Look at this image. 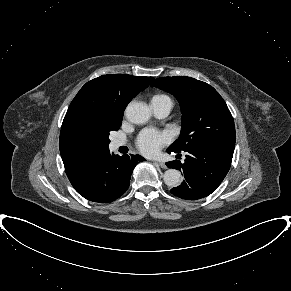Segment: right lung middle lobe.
I'll return each mask as SVG.
<instances>
[{"label": "right lung middle lobe", "mask_w": 291, "mask_h": 291, "mask_svg": "<svg viewBox=\"0 0 291 291\" xmlns=\"http://www.w3.org/2000/svg\"><path fill=\"white\" fill-rule=\"evenodd\" d=\"M122 123V117H105L90 125L81 126L75 141L82 146H96L108 151L110 131H117Z\"/></svg>", "instance_id": "right-lung-middle-lobe-1"}]
</instances>
